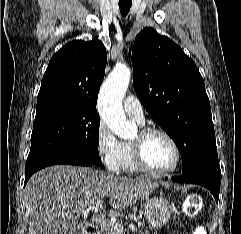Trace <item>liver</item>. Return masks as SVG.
<instances>
[{
	"label": "liver",
	"instance_id": "liver-1",
	"mask_svg": "<svg viewBox=\"0 0 241 234\" xmlns=\"http://www.w3.org/2000/svg\"><path fill=\"white\" fill-rule=\"evenodd\" d=\"M158 186L145 178L120 177L95 169L57 165L35 173L25 187L29 212L28 234H77L78 216L97 201L109 198L110 216Z\"/></svg>",
	"mask_w": 241,
	"mask_h": 234
}]
</instances>
